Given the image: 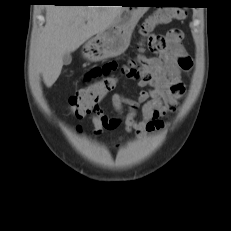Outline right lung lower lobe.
Listing matches in <instances>:
<instances>
[{
  "mask_svg": "<svg viewBox=\"0 0 231 231\" xmlns=\"http://www.w3.org/2000/svg\"><path fill=\"white\" fill-rule=\"evenodd\" d=\"M45 2H52L57 5H76L74 0H44Z\"/></svg>",
  "mask_w": 231,
  "mask_h": 231,
  "instance_id": "1",
  "label": "right lung lower lobe"
}]
</instances>
